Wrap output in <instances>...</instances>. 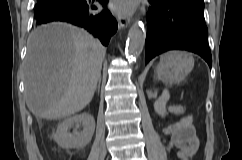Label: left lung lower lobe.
Wrapping results in <instances>:
<instances>
[{
  "label": "left lung lower lobe",
  "instance_id": "obj_1",
  "mask_svg": "<svg viewBox=\"0 0 242 160\" xmlns=\"http://www.w3.org/2000/svg\"><path fill=\"white\" fill-rule=\"evenodd\" d=\"M145 62L168 50H187L200 55L211 68L204 9L166 0H149Z\"/></svg>",
  "mask_w": 242,
  "mask_h": 160
}]
</instances>
